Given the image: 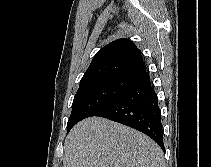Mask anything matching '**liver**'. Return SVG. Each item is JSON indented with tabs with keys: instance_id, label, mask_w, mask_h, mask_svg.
I'll use <instances>...</instances> for the list:
<instances>
[{
	"instance_id": "6515ba94",
	"label": "liver",
	"mask_w": 211,
	"mask_h": 167,
	"mask_svg": "<svg viewBox=\"0 0 211 167\" xmlns=\"http://www.w3.org/2000/svg\"><path fill=\"white\" fill-rule=\"evenodd\" d=\"M63 167H165V161L161 148L143 133L91 117L66 137Z\"/></svg>"
}]
</instances>
